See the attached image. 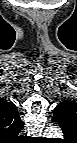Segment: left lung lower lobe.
I'll return each mask as SVG.
<instances>
[{
    "label": "left lung lower lobe",
    "instance_id": "obj_1",
    "mask_svg": "<svg viewBox=\"0 0 77 143\" xmlns=\"http://www.w3.org/2000/svg\"><path fill=\"white\" fill-rule=\"evenodd\" d=\"M74 106L71 104L61 103L56 106L52 121L61 125H72V117L74 115Z\"/></svg>",
    "mask_w": 77,
    "mask_h": 143
}]
</instances>
